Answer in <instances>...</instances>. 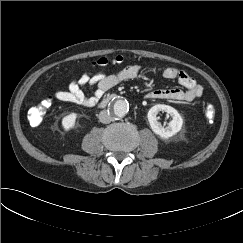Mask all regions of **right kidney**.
<instances>
[{
	"mask_svg": "<svg viewBox=\"0 0 243 243\" xmlns=\"http://www.w3.org/2000/svg\"><path fill=\"white\" fill-rule=\"evenodd\" d=\"M77 118L76 113H70L62 119V127L64 130H69L74 127Z\"/></svg>",
	"mask_w": 243,
	"mask_h": 243,
	"instance_id": "right-kidney-1",
	"label": "right kidney"
}]
</instances>
